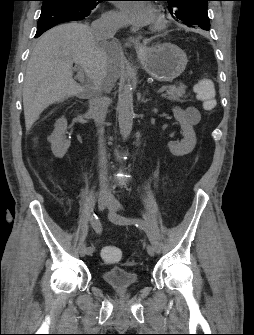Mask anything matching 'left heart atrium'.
Masks as SVG:
<instances>
[{"label": "left heart atrium", "mask_w": 254, "mask_h": 335, "mask_svg": "<svg viewBox=\"0 0 254 335\" xmlns=\"http://www.w3.org/2000/svg\"><path fill=\"white\" fill-rule=\"evenodd\" d=\"M126 24L136 28L150 26L155 20V10L143 1H121L118 3Z\"/></svg>", "instance_id": "left-heart-atrium-1"}]
</instances>
